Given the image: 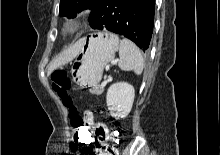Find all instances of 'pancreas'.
<instances>
[{"label": "pancreas", "instance_id": "pancreas-1", "mask_svg": "<svg viewBox=\"0 0 220 155\" xmlns=\"http://www.w3.org/2000/svg\"><path fill=\"white\" fill-rule=\"evenodd\" d=\"M104 91V88L102 87H97L95 90L92 91V93L96 94V95H101Z\"/></svg>", "mask_w": 220, "mask_h": 155}]
</instances>
